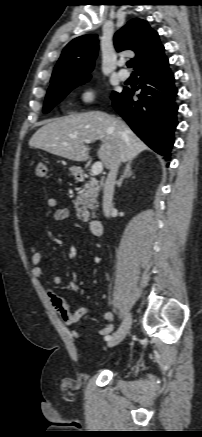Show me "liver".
<instances>
[{"instance_id": "obj_1", "label": "liver", "mask_w": 202, "mask_h": 437, "mask_svg": "<svg viewBox=\"0 0 202 437\" xmlns=\"http://www.w3.org/2000/svg\"><path fill=\"white\" fill-rule=\"evenodd\" d=\"M86 140L101 141L97 156L107 169L117 162L130 161L147 149L123 120L101 111L49 120L34 133L29 146L84 162L89 157Z\"/></svg>"}]
</instances>
